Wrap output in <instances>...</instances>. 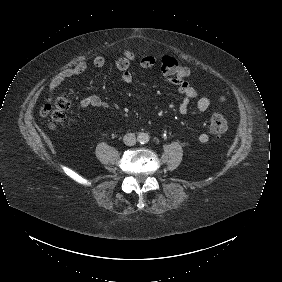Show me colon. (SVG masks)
Wrapping results in <instances>:
<instances>
[{"label":"colon","mask_w":282,"mask_h":282,"mask_svg":"<svg viewBox=\"0 0 282 282\" xmlns=\"http://www.w3.org/2000/svg\"><path fill=\"white\" fill-rule=\"evenodd\" d=\"M161 68L164 74L170 76L172 81L177 83L184 81L189 76V70L171 57H164L162 59ZM52 102L53 106L50 104L44 105L41 109V113L50 118L51 126H56L63 122L71 104L70 101L63 96H57ZM227 129L228 122L226 118L219 113L214 114L210 121L211 132L214 134H222L226 132Z\"/></svg>","instance_id":"colon-1"}]
</instances>
